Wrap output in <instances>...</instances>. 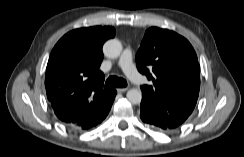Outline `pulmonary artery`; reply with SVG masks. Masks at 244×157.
Returning <instances> with one entry per match:
<instances>
[{
	"mask_svg": "<svg viewBox=\"0 0 244 157\" xmlns=\"http://www.w3.org/2000/svg\"><path fill=\"white\" fill-rule=\"evenodd\" d=\"M119 66L122 68L127 77L134 83L138 85L145 83V78L138 73L133 65L132 50L129 47L123 51L119 59Z\"/></svg>",
	"mask_w": 244,
	"mask_h": 157,
	"instance_id": "e3ab8cb5",
	"label": "pulmonary artery"
}]
</instances>
